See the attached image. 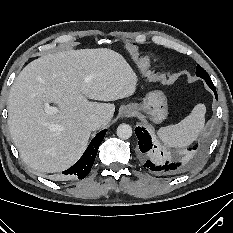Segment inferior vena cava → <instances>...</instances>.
<instances>
[{
  "label": "inferior vena cava",
  "instance_id": "inferior-vena-cava-1",
  "mask_svg": "<svg viewBox=\"0 0 233 233\" xmlns=\"http://www.w3.org/2000/svg\"><path fill=\"white\" fill-rule=\"evenodd\" d=\"M102 125L103 119L97 115H90L83 122V126L91 131L99 129Z\"/></svg>",
  "mask_w": 233,
  "mask_h": 233
}]
</instances>
